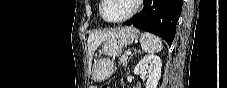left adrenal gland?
Returning a JSON list of instances; mask_svg holds the SVG:
<instances>
[{
    "label": "left adrenal gland",
    "mask_w": 227,
    "mask_h": 88,
    "mask_svg": "<svg viewBox=\"0 0 227 88\" xmlns=\"http://www.w3.org/2000/svg\"><path fill=\"white\" fill-rule=\"evenodd\" d=\"M140 51H135V53H139Z\"/></svg>",
    "instance_id": "a2214340"
}]
</instances>
